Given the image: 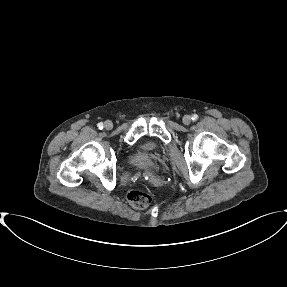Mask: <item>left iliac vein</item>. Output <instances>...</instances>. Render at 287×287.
I'll return each instance as SVG.
<instances>
[{"instance_id":"left-iliac-vein-1","label":"left iliac vein","mask_w":287,"mask_h":287,"mask_svg":"<svg viewBox=\"0 0 287 287\" xmlns=\"http://www.w3.org/2000/svg\"><path fill=\"white\" fill-rule=\"evenodd\" d=\"M191 121H192V119H191V117H190L189 115H185V116L183 117V123H184L185 125H189V124L191 123Z\"/></svg>"}]
</instances>
